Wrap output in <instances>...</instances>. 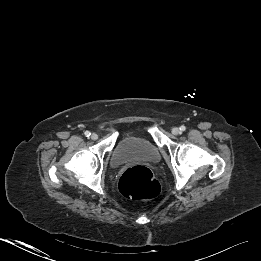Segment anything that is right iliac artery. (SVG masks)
<instances>
[{
  "mask_svg": "<svg viewBox=\"0 0 261 261\" xmlns=\"http://www.w3.org/2000/svg\"><path fill=\"white\" fill-rule=\"evenodd\" d=\"M84 134L86 137H89L91 135V133L89 131H86Z\"/></svg>",
  "mask_w": 261,
  "mask_h": 261,
  "instance_id": "right-iliac-artery-1",
  "label": "right iliac artery"
}]
</instances>
